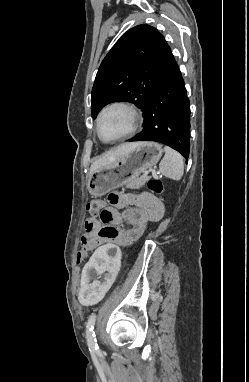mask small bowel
<instances>
[{
    "label": "small bowel",
    "instance_id": "obj_1",
    "mask_svg": "<svg viewBox=\"0 0 249 382\" xmlns=\"http://www.w3.org/2000/svg\"><path fill=\"white\" fill-rule=\"evenodd\" d=\"M107 201L110 207L99 216H91L85 220L84 233L81 236L83 251L96 250L104 241H115L116 245L125 246L138 240L150 221L160 219L164 213L161 201L149 194L132 199L126 194L112 192ZM123 209V211H120ZM129 228L122 229L123 222Z\"/></svg>",
    "mask_w": 249,
    "mask_h": 382
}]
</instances>
